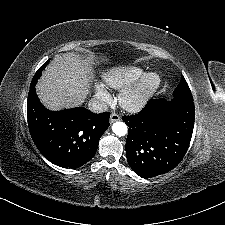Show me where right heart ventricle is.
<instances>
[{
	"label": "right heart ventricle",
	"instance_id": "obj_1",
	"mask_svg": "<svg viewBox=\"0 0 225 225\" xmlns=\"http://www.w3.org/2000/svg\"><path fill=\"white\" fill-rule=\"evenodd\" d=\"M140 69H111L104 74L106 84L116 90H124L131 87L142 76Z\"/></svg>",
	"mask_w": 225,
	"mask_h": 225
}]
</instances>
